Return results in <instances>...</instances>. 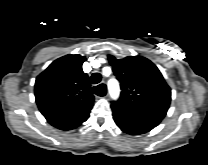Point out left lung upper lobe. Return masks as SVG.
<instances>
[{"label": "left lung upper lobe", "mask_w": 208, "mask_h": 165, "mask_svg": "<svg viewBox=\"0 0 208 165\" xmlns=\"http://www.w3.org/2000/svg\"><path fill=\"white\" fill-rule=\"evenodd\" d=\"M108 59L122 90L120 98L112 101L113 114L156 127L171 101L170 87L159 69L142 56L116 59L109 55Z\"/></svg>", "instance_id": "left-lung-upper-lobe-1"}]
</instances>
